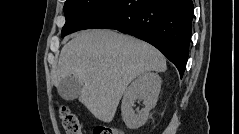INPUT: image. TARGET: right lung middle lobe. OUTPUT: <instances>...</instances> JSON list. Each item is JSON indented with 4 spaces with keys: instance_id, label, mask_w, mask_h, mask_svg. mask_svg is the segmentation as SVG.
Listing matches in <instances>:
<instances>
[{
    "instance_id": "1",
    "label": "right lung middle lobe",
    "mask_w": 239,
    "mask_h": 134,
    "mask_svg": "<svg viewBox=\"0 0 239 134\" xmlns=\"http://www.w3.org/2000/svg\"><path fill=\"white\" fill-rule=\"evenodd\" d=\"M116 0H66L64 13L66 23L62 29V37L82 30L100 11Z\"/></svg>"
}]
</instances>
